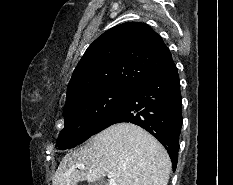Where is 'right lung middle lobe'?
Listing matches in <instances>:
<instances>
[{"label": "right lung middle lobe", "instance_id": "obj_1", "mask_svg": "<svg viewBox=\"0 0 233 185\" xmlns=\"http://www.w3.org/2000/svg\"><path fill=\"white\" fill-rule=\"evenodd\" d=\"M130 89L104 88L80 95L64 106V128L57 147L70 149L94 135L100 123L128 95Z\"/></svg>", "mask_w": 233, "mask_h": 185}]
</instances>
